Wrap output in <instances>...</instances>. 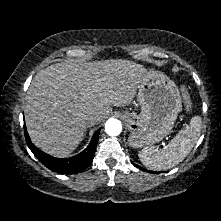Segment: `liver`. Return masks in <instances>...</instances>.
Segmentation results:
<instances>
[{
    "label": "liver",
    "mask_w": 221,
    "mask_h": 221,
    "mask_svg": "<svg viewBox=\"0 0 221 221\" xmlns=\"http://www.w3.org/2000/svg\"><path fill=\"white\" fill-rule=\"evenodd\" d=\"M146 69L133 61L112 59L56 63L34 77L25 104L32 142L59 158L70 155L83 139L85 119L100 123L112 106L132 103Z\"/></svg>",
    "instance_id": "liver-1"
}]
</instances>
